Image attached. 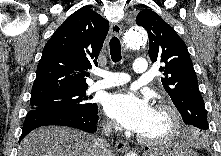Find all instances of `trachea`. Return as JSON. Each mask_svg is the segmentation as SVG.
<instances>
[{
  "label": "trachea",
  "mask_w": 221,
  "mask_h": 156,
  "mask_svg": "<svg viewBox=\"0 0 221 156\" xmlns=\"http://www.w3.org/2000/svg\"><path fill=\"white\" fill-rule=\"evenodd\" d=\"M110 46V55L114 63L121 61V45L117 37H112L109 43Z\"/></svg>",
  "instance_id": "1"
}]
</instances>
